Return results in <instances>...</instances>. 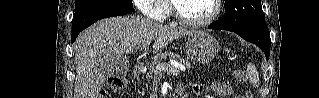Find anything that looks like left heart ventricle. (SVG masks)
I'll use <instances>...</instances> for the list:
<instances>
[{
	"label": "left heart ventricle",
	"instance_id": "left-heart-ventricle-1",
	"mask_svg": "<svg viewBox=\"0 0 319 98\" xmlns=\"http://www.w3.org/2000/svg\"><path fill=\"white\" fill-rule=\"evenodd\" d=\"M177 6L179 12L190 20L205 19L214 10L213 0H179Z\"/></svg>",
	"mask_w": 319,
	"mask_h": 98
}]
</instances>
